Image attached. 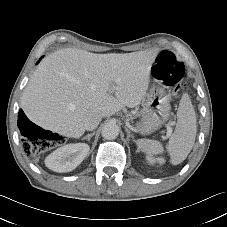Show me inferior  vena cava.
Listing matches in <instances>:
<instances>
[{"label":"inferior vena cava","instance_id":"obj_1","mask_svg":"<svg viewBox=\"0 0 227 227\" xmlns=\"http://www.w3.org/2000/svg\"><path fill=\"white\" fill-rule=\"evenodd\" d=\"M101 119H102V115L99 113H91L87 115V117L85 118V124H84L85 129L90 131L94 130L99 125Z\"/></svg>","mask_w":227,"mask_h":227}]
</instances>
